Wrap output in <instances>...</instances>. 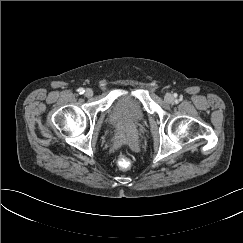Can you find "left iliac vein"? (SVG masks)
<instances>
[{
	"mask_svg": "<svg viewBox=\"0 0 243 243\" xmlns=\"http://www.w3.org/2000/svg\"><path fill=\"white\" fill-rule=\"evenodd\" d=\"M164 99H165V101L167 103H172L173 102V96L171 94H166Z\"/></svg>",
	"mask_w": 243,
	"mask_h": 243,
	"instance_id": "obj_1",
	"label": "left iliac vein"
}]
</instances>
